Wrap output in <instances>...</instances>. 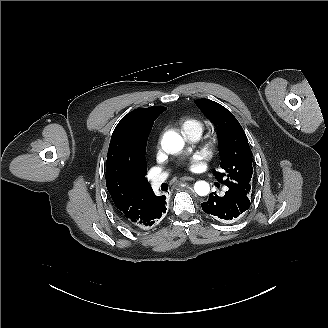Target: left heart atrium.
<instances>
[{
  "label": "left heart atrium",
  "mask_w": 328,
  "mask_h": 328,
  "mask_svg": "<svg viewBox=\"0 0 328 328\" xmlns=\"http://www.w3.org/2000/svg\"><path fill=\"white\" fill-rule=\"evenodd\" d=\"M200 167L199 161L197 159H192L189 164V169L192 171L198 170Z\"/></svg>",
  "instance_id": "39dd6f15"
}]
</instances>
